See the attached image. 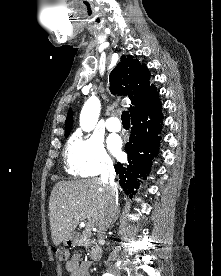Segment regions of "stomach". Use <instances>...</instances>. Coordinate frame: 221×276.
Masks as SVG:
<instances>
[{
	"mask_svg": "<svg viewBox=\"0 0 221 276\" xmlns=\"http://www.w3.org/2000/svg\"><path fill=\"white\" fill-rule=\"evenodd\" d=\"M78 238H79L78 233L73 232L66 240H64L63 243L65 246L73 247L78 244Z\"/></svg>",
	"mask_w": 221,
	"mask_h": 276,
	"instance_id": "stomach-1",
	"label": "stomach"
}]
</instances>
